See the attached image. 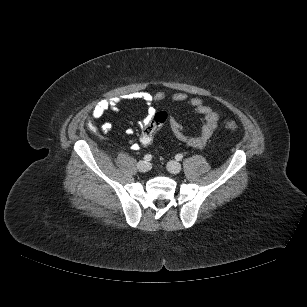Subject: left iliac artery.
<instances>
[{
    "mask_svg": "<svg viewBox=\"0 0 307 307\" xmlns=\"http://www.w3.org/2000/svg\"><path fill=\"white\" fill-rule=\"evenodd\" d=\"M175 159L178 160V161H180V160L183 159V155H182V154H177V155L175 156Z\"/></svg>",
    "mask_w": 307,
    "mask_h": 307,
    "instance_id": "obj_1",
    "label": "left iliac artery"
}]
</instances>
